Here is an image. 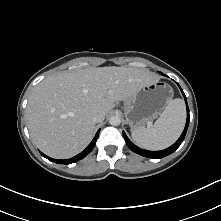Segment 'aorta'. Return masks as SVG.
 Returning <instances> with one entry per match:
<instances>
[{
  "mask_svg": "<svg viewBox=\"0 0 221 221\" xmlns=\"http://www.w3.org/2000/svg\"><path fill=\"white\" fill-rule=\"evenodd\" d=\"M109 123L112 126H118L121 123V118L118 115H113L109 118Z\"/></svg>",
  "mask_w": 221,
  "mask_h": 221,
  "instance_id": "762f6f07",
  "label": "aorta"
}]
</instances>
